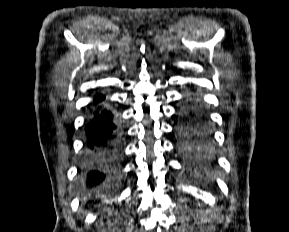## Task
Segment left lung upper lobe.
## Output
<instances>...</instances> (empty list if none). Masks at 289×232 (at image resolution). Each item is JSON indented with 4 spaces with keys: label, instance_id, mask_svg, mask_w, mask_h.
I'll return each mask as SVG.
<instances>
[{
    "label": "left lung upper lobe",
    "instance_id": "5c2ea615",
    "mask_svg": "<svg viewBox=\"0 0 289 232\" xmlns=\"http://www.w3.org/2000/svg\"><path fill=\"white\" fill-rule=\"evenodd\" d=\"M179 132L181 136L182 147L195 153H206L211 148V136L202 130V127L193 122L186 114L183 117Z\"/></svg>",
    "mask_w": 289,
    "mask_h": 232
}]
</instances>
